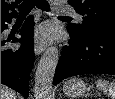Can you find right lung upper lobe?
<instances>
[{
  "label": "right lung upper lobe",
  "instance_id": "right-lung-upper-lobe-1",
  "mask_svg": "<svg viewBox=\"0 0 115 99\" xmlns=\"http://www.w3.org/2000/svg\"><path fill=\"white\" fill-rule=\"evenodd\" d=\"M21 0L15 2H9V0H1V21L16 16L14 8L19 4Z\"/></svg>",
  "mask_w": 115,
  "mask_h": 99
}]
</instances>
